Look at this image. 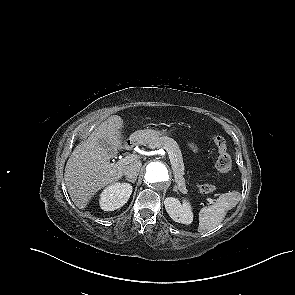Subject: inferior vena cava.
Listing matches in <instances>:
<instances>
[{"label":"inferior vena cava","mask_w":295,"mask_h":295,"mask_svg":"<svg viewBox=\"0 0 295 295\" xmlns=\"http://www.w3.org/2000/svg\"><path fill=\"white\" fill-rule=\"evenodd\" d=\"M140 168H141V165L130 164V165L126 166V168L124 170V175L128 179H136V177L139 174Z\"/></svg>","instance_id":"inferior-vena-cava-1"}]
</instances>
